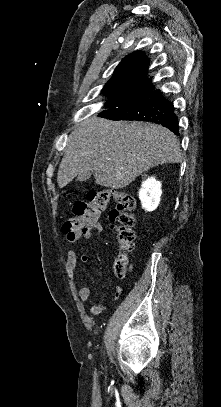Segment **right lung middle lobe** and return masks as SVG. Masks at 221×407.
Here are the masks:
<instances>
[{
	"label": "right lung middle lobe",
	"instance_id": "obj_1",
	"mask_svg": "<svg viewBox=\"0 0 221 407\" xmlns=\"http://www.w3.org/2000/svg\"><path fill=\"white\" fill-rule=\"evenodd\" d=\"M141 87L143 86H141L140 84H135L134 86L123 90L103 89L102 93H104L108 97V100L105 103V105L106 106L112 105L113 103L127 97L132 92L140 89Z\"/></svg>",
	"mask_w": 221,
	"mask_h": 407
}]
</instances>
